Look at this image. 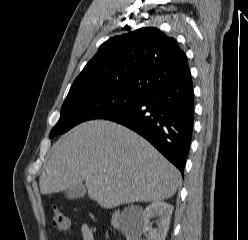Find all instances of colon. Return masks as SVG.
I'll list each match as a JSON object with an SVG mask.
<instances>
[{
	"instance_id": "colon-1",
	"label": "colon",
	"mask_w": 248,
	"mask_h": 240,
	"mask_svg": "<svg viewBox=\"0 0 248 240\" xmlns=\"http://www.w3.org/2000/svg\"><path fill=\"white\" fill-rule=\"evenodd\" d=\"M49 210L53 226L60 232H70L71 224L69 218L55 205H51Z\"/></svg>"
}]
</instances>
